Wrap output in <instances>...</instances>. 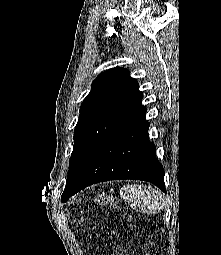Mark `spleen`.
Returning <instances> with one entry per match:
<instances>
[{
    "label": "spleen",
    "instance_id": "obj_1",
    "mask_svg": "<svg viewBox=\"0 0 221 255\" xmlns=\"http://www.w3.org/2000/svg\"><path fill=\"white\" fill-rule=\"evenodd\" d=\"M121 196L132 209L140 213L156 214L165 205L162 193L149 186L127 185L122 188Z\"/></svg>",
    "mask_w": 221,
    "mask_h": 255
}]
</instances>
